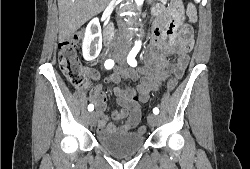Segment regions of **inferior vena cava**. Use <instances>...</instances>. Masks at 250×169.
I'll return each instance as SVG.
<instances>
[{"label": "inferior vena cava", "instance_id": "inferior-vena-cava-1", "mask_svg": "<svg viewBox=\"0 0 250 169\" xmlns=\"http://www.w3.org/2000/svg\"><path fill=\"white\" fill-rule=\"evenodd\" d=\"M121 26H123V30H125L123 22H122Z\"/></svg>", "mask_w": 250, "mask_h": 169}]
</instances>
